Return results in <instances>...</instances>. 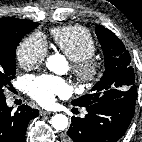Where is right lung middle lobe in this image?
<instances>
[{
    "label": "right lung middle lobe",
    "instance_id": "right-lung-middle-lobe-1",
    "mask_svg": "<svg viewBox=\"0 0 142 142\" xmlns=\"http://www.w3.org/2000/svg\"><path fill=\"white\" fill-rule=\"evenodd\" d=\"M37 26L38 23L33 22L0 33V97L4 96L3 90L11 86L10 81L15 77L16 47L21 39Z\"/></svg>",
    "mask_w": 142,
    "mask_h": 142
}]
</instances>
